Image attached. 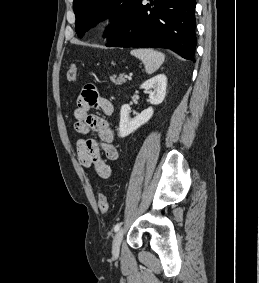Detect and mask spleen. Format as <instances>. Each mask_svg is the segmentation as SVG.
Masks as SVG:
<instances>
[{"label": "spleen", "instance_id": "1", "mask_svg": "<svg viewBox=\"0 0 259 283\" xmlns=\"http://www.w3.org/2000/svg\"><path fill=\"white\" fill-rule=\"evenodd\" d=\"M131 55L140 59L148 74L154 73L163 64L165 56L163 53L153 49H133Z\"/></svg>", "mask_w": 259, "mask_h": 283}]
</instances>
